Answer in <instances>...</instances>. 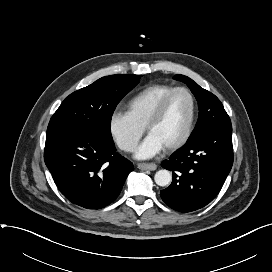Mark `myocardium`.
Returning a JSON list of instances; mask_svg holds the SVG:
<instances>
[{
  "label": "myocardium",
  "instance_id": "myocardium-1",
  "mask_svg": "<svg viewBox=\"0 0 272 272\" xmlns=\"http://www.w3.org/2000/svg\"><path fill=\"white\" fill-rule=\"evenodd\" d=\"M183 92L185 94L188 95V97L190 98L191 101V115H190V119L187 125V128L183 134V136L176 141L175 143L165 147V150L168 152H173L176 151L178 149H180L181 147H183L188 140L190 139L195 125H196V120H197V114H198V105H197V100L194 96V94L192 93V91L186 87H176L174 88L172 91H170L167 95H165L162 100L158 103V105L156 106V108L154 109V111L152 112V114L150 115L146 125H145V129L146 131H150L151 127L154 126L163 116L170 100L177 94Z\"/></svg>",
  "mask_w": 272,
  "mask_h": 272
}]
</instances>
